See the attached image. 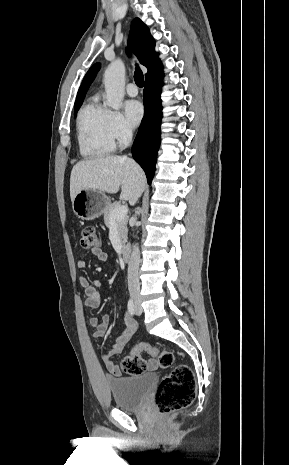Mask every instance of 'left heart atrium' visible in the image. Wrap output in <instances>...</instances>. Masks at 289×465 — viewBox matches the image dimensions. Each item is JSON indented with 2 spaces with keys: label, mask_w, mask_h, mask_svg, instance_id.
I'll return each instance as SVG.
<instances>
[{
  "label": "left heart atrium",
  "mask_w": 289,
  "mask_h": 465,
  "mask_svg": "<svg viewBox=\"0 0 289 465\" xmlns=\"http://www.w3.org/2000/svg\"><path fill=\"white\" fill-rule=\"evenodd\" d=\"M125 112L128 120L134 126L139 125L144 116L143 105L137 100L127 101L125 104Z\"/></svg>",
  "instance_id": "left-heart-atrium-1"
}]
</instances>
